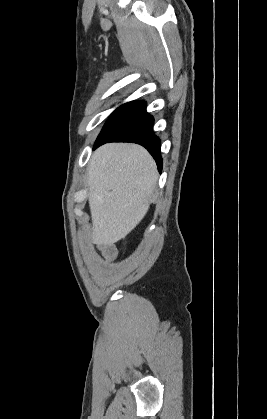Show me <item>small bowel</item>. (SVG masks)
I'll use <instances>...</instances> for the list:
<instances>
[{
	"label": "small bowel",
	"instance_id": "1",
	"mask_svg": "<svg viewBox=\"0 0 267 419\" xmlns=\"http://www.w3.org/2000/svg\"><path fill=\"white\" fill-rule=\"evenodd\" d=\"M100 250L107 261L114 262L117 259L118 252L113 244L104 243L100 246Z\"/></svg>",
	"mask_w": 267,
	"mask_h": 419
}]
</instances>
